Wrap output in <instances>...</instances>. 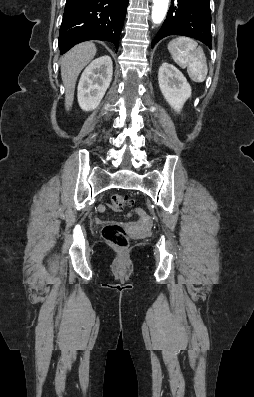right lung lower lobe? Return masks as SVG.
I'll return each mask as SVG.
<instances>
[{"label": "right lung lower lobe", "instance_id": "98d812e1", "mask_svg": "<svg viewBox=\"0 0 254 397\" xmlns=\"http://www.w3.org/2000/svg\"><path fill=\"white\" fill-rule=\"evenodd\" d=\"M129 0H67L59 34L60 54L86 40L112 42L118 49Z\"/></svg>", "mask_w": 254, "mask_h": 397}]
</instances>
